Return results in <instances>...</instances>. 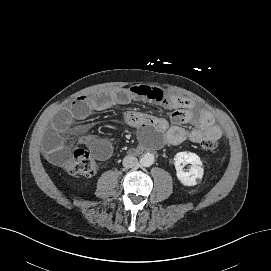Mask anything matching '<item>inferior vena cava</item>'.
<instances>
[{
    "label": "inferior vena cava",
    "instance_id": "602c4592",
    "mask_svg": "<svg viewBox=\"0 0 271 271\" xmlns=\"http://www.w3.org/2000/svg\"><path fill=\"white\" fill-rule=\"evenodd\" d=\"M138 165V159L134 156H126L123 159V166L125 168H133Z\"/></svg>",
    "mask_w": 271,
    "mask_h": 271
}]
</instances>
